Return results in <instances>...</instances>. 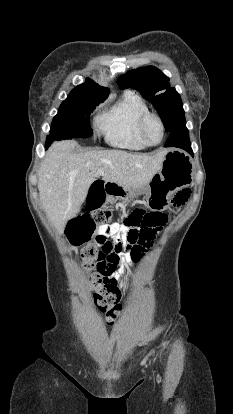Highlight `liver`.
I'll return each instance as SVG.
<instances>
[{"label": "liver", "mask_w": 233, "mask_h": 414, "mask_svg": "<svg viewBox=\"0 0 233 414\" xmlns=\"http://www.w3.org/2000/svg\"><path fill=\"white\" fill-rule=\"evenodd\" d=\"M76 146L75 140L54 142L38 173L41 205L59 231L80 212L89 187L97 177L131 190L135 196V191L152 181L168 152L162 150L147 155L112 149L76 153ZM99 170H103V174H98Z\"/></svg>", "instance_id": "obj_1"}]
</instances>
